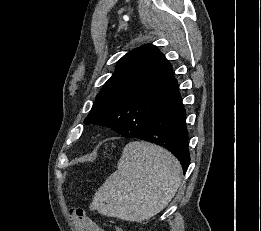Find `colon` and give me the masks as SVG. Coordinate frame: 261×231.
<instances>
[{"label": "colon", "mask_w": 261, "mask_h": 231, "mask_svg": "<svg viewBox=\"0 0 261 231\" xmlns=\"http://www.w3.org/2000/svg\"><path fill=\"white\" fill-rule=\"evenodd\" d=\"M69 220L79 229V231H86L92 226L91 219L82 208H73L70 211ZM115 231H123V229L120 226H116Z\"/></svg>", "instance_id": "1"}]
</instances>
